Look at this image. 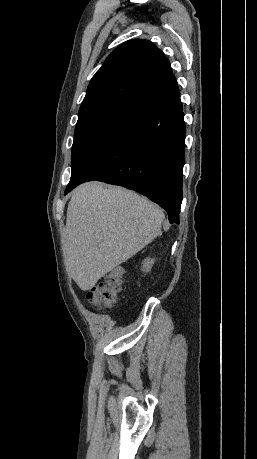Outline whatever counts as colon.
<instances>
[{
  "label": "colon",
  "instance_id": "obj_1",
  "mask_svg": "<svg viewBox=\"0 0 257 459\" xmlns=\"http://www.w3.org/2000/svg\"><path fill=\"white\" fill-rule=\"evenodd\" d=\"M123 274L120 269H114L104 282L92 287L87 293L88 302L97 309L110 308L118 301L122 290Z\"/></svg>",
  "mask_w": 257,
  "mask_h": 459
}]
</instances>
